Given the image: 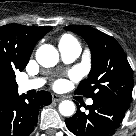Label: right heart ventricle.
I'll use <instances>...</instances> for the list:
<instances>
[{"label": "right heart ventricle", "mask_w": 136, "mask_h": 136, "mask_svg": "<svg viewBox=\"0 0 136 136\" xmlns=\"http://www.w3.org/2000/svg\"><path fill=\"white\" fill-rule=\"evenodd\" d=\"M77 41L70 35H63L60 39V43H73Z\"/></svg>", "instance_id": "e07e8e85"}]
</instances>
